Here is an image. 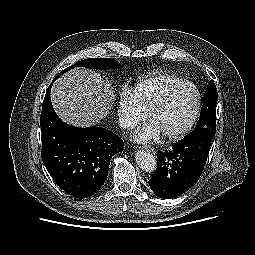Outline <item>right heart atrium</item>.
<instances>
[{"instance_id":"1","label":"right heart atrium","mask_w":255,"mask_h":255,"mask_svg":"<svg viewBox=\"0 0 255 255\" xmlns=\"http://www.w3.org/2000/svg\"><path fill=\"white\" fill-rule=\"evenodd\" d=\"M117 116L120 125L125 129H133L146 120L147 112L138 102L133 89L122 87L117 106Z\"/></svg>"}]
</instances>
